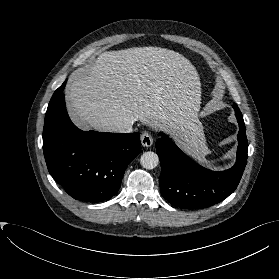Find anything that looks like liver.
<instances>
[{
	"instance_id": "6515ba94",
	"label": "liver",
	"mask_w": 279,
	"mask_h": 279,
	"mask_svg": "<svg viewBox=\"0 0 279 279\" xmlns=\"http://www.w3.org/2000/svg\"><path fill=\"white\" fill-rule=\"evenodd\" d=\"M74 123L119 132L140 121L171 133L194 155L207 151L200 109L201 83L192 63L161 47L106 51L80 69L65 89Z\"/></svg>"
}]
</instances>
